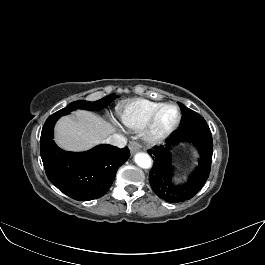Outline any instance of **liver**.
<instances>
[{
    "mask_svg": "<svg viewBox=\"0 0 265 265\" xmlns=\"http://www.w3.org/2000/svg\"><path fill=\"white\" fill-rule=\"evenodd\" d=\"M114 127L100 116L85 110L74 117H62L55 127V142L67 151H84L103 142Z\"/></svg>",
    "mask_w": 265,
    "mask_h": 265,
    "instance_id": "obj_1",
    "label": "liver"
}]
</instances>
